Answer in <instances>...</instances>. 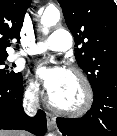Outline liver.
Here are the masks:
<instances>
[{
	"mask_svg": "<svg viewBox=\"0 0 117 136\" xmlns=\"http://www.w3.org/2000/svg\"><path fill=\"white\" fill-rule=\"evenodd\" d=\"M0 136H26L23 132L0 131Z\"/></svg>",
	"mask_w": 117,
	"mask_h": 136,
	"instance_id": "liver-1",
	"label": "liver"
}]
</instances>
